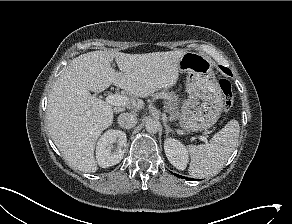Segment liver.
I'll list each match as a JSON object with an SVG mask.
<instances>
[{"label": "liver", "instance_id": "1", "mask_svg": "<svg viewBox=\"0 0 292 224\" xmlns=\"http://www.w3.org/2000/svg\"><path fill=\"white\" fill-rule=\"evenodd\" d=\"M184 53L93 51L73 59L53 85L46 110L51 138L66 161L82 172H96L95 144L101 132L112 125L114 112L127 108L136 113L144 108L141 99L113 108L90 91L102 92L114 84L137 98L147 97L175 84ZM113 59L119 72L112 68Z\"/></svg>", "mask_w": 292, "mask_h": 224}]
</instances>
